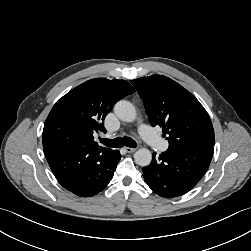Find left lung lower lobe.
<instances>
[{
  "instance_id": "1",
  "label": "left lung lower lobe",
  "mask_w": 251,
  "mask_h": 251,
  "mask_svg": "<svg viewBox=\"0 0 251 251\" xmlns=\"http://www.w3.org/2000/svg\"><path fill=\"white\" fill-rule=\"evenodd\" d=\"M212 155L168 149L159 157L153 153L150 165L143 167L145 183L158 195L177 197L190 191L206 173Z\"/></svg>"
}]
</instances>
